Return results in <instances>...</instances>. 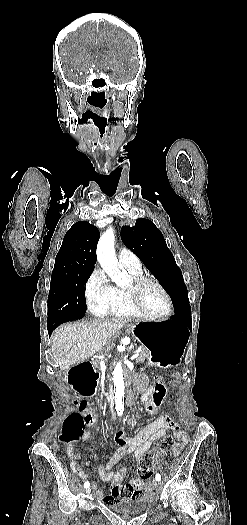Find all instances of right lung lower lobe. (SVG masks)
<instances>
[{
  "mask_svg": "<svg viewBox=\"0 0 247 525\" xmlns=\"http://www.w3.org/2000/svg\"><path fill=\"white\" fill-rule=\"evenodd\" d=\"M48 328V332H49V335L51 334V332L56 328V327H47Z\"/></svg>",
  "mask_w": 247,
  "mask_h": 525,
  "instance_id": "obj_1",
  "label": "right lung lower lobe"
}]
</instances>
